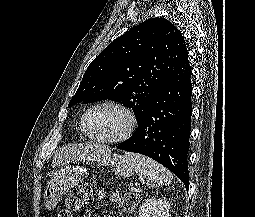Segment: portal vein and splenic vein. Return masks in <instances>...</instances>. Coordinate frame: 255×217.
Returning a JSON list of instances; mask_svg holds the SVG:
<instances>
[{
  "instance_id": "1",
  "label": "portal vein and splenic vein",
  "mask_w": 255,
  "mask_h": 217,
  "mask_svg": "<svg viewBox=\"0 0 255 217\" xmlns=\"http://www.w3.org/2000/svg\"><path fill=\"white\" fill-rule=\"evenodd\" d=\"M130 191H131V192H139V189H137V188L131 186Z\"/></svg>"
}]
</instances>
